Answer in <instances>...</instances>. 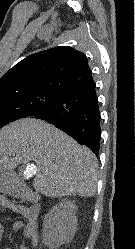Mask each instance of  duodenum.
Returning a JSON list of instances; mask_svg holds the SVG:
<instances>
[{"instance_id":"1","label":"duodenum","mask_w":135,"mask_h":249,"mask_svg":"<svg viewBox=\"0 0 135 249\" xmlns=\"http://www.w3.org/2000/svg\"><path fill=\"white\" fill-rule=\"evenodd\" d=\"M20 193H21V197L28 202L37 203L39 200L38 195L32 189L24 187V188L20 189ZM32 206H34V205H32ZM34 207H36V206H34Z\"/></svg>"}]
</instances>
